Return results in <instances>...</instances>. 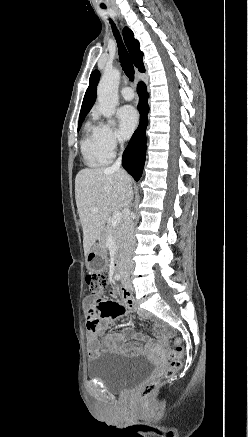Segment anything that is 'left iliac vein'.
I'll use <instances>...</instances> for the list:
<instances>
[{
	"label": "left iliac vein",
	"instance_id": "1",
	"mask_svg": "<svg viewBox=\"0 0 248 437\" xmlns=\"http://www.w3.org/2000/svg\"><path fill=\"white\" fill-rule=\"evenodd\" d=\"M123 284H124V286H125L127 289H129V290H133V287H132V285H131V282H130L129 278L124 277V278H123Z\"/></svg>",
	"mask_w": 248,
	"mask_h": 437
}]
</instances>
